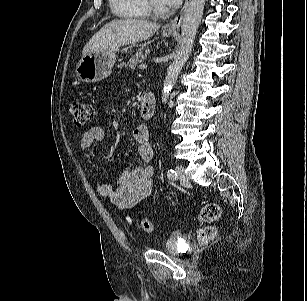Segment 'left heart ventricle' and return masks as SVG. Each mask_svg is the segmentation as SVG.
I'll list each match as a JSON object with an SVG mask.
<instances>
[{
	"mask_svg": "<svg viewBox=\"0 0 307 301\" xmlns=\"http://www.w3.org/2000/svg\"><path fill=\"white\" fill-rule=\"evenodd\" d=\"M151 2L153 3V5H154L156 8L161 9V8L159 7V5L157 4L156 0H151Z\"/></svg>",
	"mask_w": 307,
	"mask_h": 301,
	"instance_id": "left-heart-ventricle-1",
	"label": "left heart ventricle"
}]
</instances>
